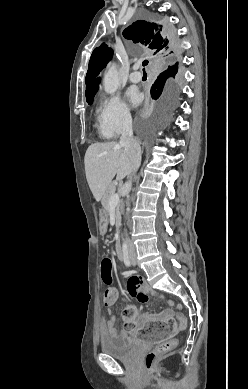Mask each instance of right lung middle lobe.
<instances>
[{
  "instance_id": "1",
  "label": "right lung middle lobe",
  "mask_w": 248,
  "mask_h": 389,
  "mask_svg": "<svg viewBox=\"0 0 248 389\" xmlns=\"http://www.w3.org/2000/svg\"><path fill=\"white\" fill-rule=\"evenodd\" d=\"M180 79L179 66L176 65L151 89V96L157 100L159 113L152 122L150 136L155 134V128L162 124L176 108L180 95ZM94 95L86 98L89 105L92 104Z\"/></svg>"
}]
</instances>
